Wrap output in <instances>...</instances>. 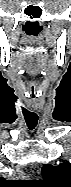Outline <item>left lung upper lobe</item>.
<instances>
[{
  "label": "left lung upper lobe",
  "mask_w": 71,
  "mask_h": 187,
  "mask_svg": "<svg viewBox=\"0 0 71 187\" xmlns=\"http://www.w3.org/2000/svg\"><path fill=\"white\" fill-rule=\"evenodd\" d=\"M42 176L44 180L39 181L42 187H71V163L46 164L42 168Z\"/></svg>",
  "instance_id": "1"
}]
</instances>
